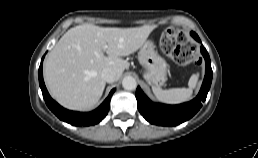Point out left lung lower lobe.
Masks as SVG:
<instances>
[{
    "label": "left lung lower lobe",
    "mask_w": 258,
    "mask_h": 158,
    "mask_svg": "<svg viewBox=\"0 0 258 158\" xmlns=\"http://www.w3.org/2000/svg\"><path fill=\"white\" fill-rule=\"evenodd\" d=\"M191 36L200 42V38L195 32H191ZM201 53L206 62V73L199 94L190 102L179 105L153 103L143 93L140 87L137 88L136 98L138 110L148 122L161 126H176L193 117L202 107V103L206 100L211 86L212 68L208 52L203 46H201Z\"/></svg>",
    "instance_id": "1"
}]
</instances>
